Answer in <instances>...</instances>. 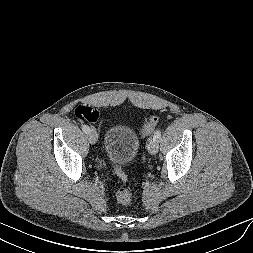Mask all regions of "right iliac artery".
<instances>
[{"instance_id": "obj_1", "label": "right iliac artery", "mask_w": 253, "mask_h": 253, "mask_svg": "<svg viewBox=\"0 0 253 253\" xmlns=\"http://www.w3.org/2000/svg\"><path fill=\"white\" fill-rule=\"evenodd\" d=\"M82 130L85 132V133H88L90 131V128L88 125H82Z\"/></svg>"}]
</instances>
